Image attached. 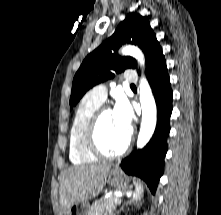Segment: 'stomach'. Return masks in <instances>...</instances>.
<instances>
[{"mask_svg": "<svg viewBox=\"0 0 221 215\" xmlns=\"http://www.w3.org/2000/svg\"><path fill=\"white\" fill-rule=\"evenodd\" d=\"M107 182L120 191H127L132 186L129 185L128 178L118 168L109 171L107 175ZM89 205L86 202H78L71 206L64 215H88Z\"/></svg>", "mask_w": 221, "mask_h": 215, "instance_id": "0dacf381", "label": "stomach"}]
</instances>
